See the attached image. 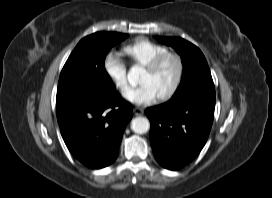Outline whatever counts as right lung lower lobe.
Returning <instances> with one entry per match:
<instances>
[{
    "instance_id": "obj_1",
    "label": "right lung lower lobe",
    "mask_w": 272,
    "mask_h": 198,
    "mask_svg": "<svg viewBox=\"0 0 272 198\" xmlns=\"http://www.w3.org/2000/svg\"><path fill=\"white\" fill-rule=\"evenodd\" d=\"M60 132L69 151L89 168L115 161L132 106L115 90L105 95H82L56 102Z\"/></svg>"
}]
</instances>
